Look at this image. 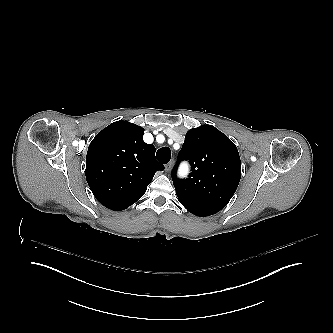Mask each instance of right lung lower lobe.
I'll list each match as a JSON object with an SVG mask.
<instances>
[{
	"instance_id": "right-lung-lower-lobe-1",
	"label": "right lung lower lobe",
	"mask_w": 333,
	"mask_h": 333,
	"mask_svg": "<svg viewBox=\"0 0 333 333\" xmlns=\"http://www.w3.org/2000/svg\"><path fill=\"white\" fill-rule=\"evenodd\" d=\"M143 195L141 196H137V197H134V198H131L130 200H128L126 203H124L122 206H121V210L123 209H126L127 207H129L130 205H132L133 203H135L138 199H140ZM120 211V210H119Z\"/></svg>"
}]
</instances>
